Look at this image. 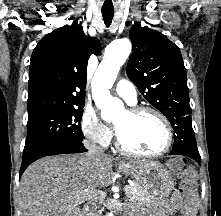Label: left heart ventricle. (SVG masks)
<instances>
[{
	"label": "left heart ventricle",
	"mask_w": 221,
	"mask_h": 216,
	"mask_svg": "<svg viewBox=\"0 0 221 216\" xmlns=\"http://www.w3.org/2000/svg\"><path fill=\"white\" fill-rule=\"evenodd\" d=\"M115 128L122 142L139 152L159 151L166 142V131L162 122L149 113L134 116L124 111L116 119Z\"/></svg>",
	"instance_id": "obj_1"
}]
</instances>
